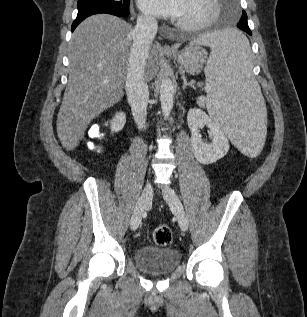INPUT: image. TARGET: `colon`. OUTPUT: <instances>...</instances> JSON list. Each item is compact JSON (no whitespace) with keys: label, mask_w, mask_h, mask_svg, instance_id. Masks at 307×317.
Here are the masks:
<instances>
[{"label":"colon","mask_w":307,"mask_h":317,"mask_svg":"<svg viewBox=\"0 0 307 317\" xmlns=\"http://www.w3.org/2000/svg\"><path fill=\"white\" fill-rule=\"evenodd\" d=\"M90 141L88 146L91 150H100V146L94 142L103 137L101 127L99 125H94L89 131ZM153 240L156 245L160 247L169 246L173 241V233L168 225L161 224L158 225L153 231Z\"/></svg>","instance_id":"colon-1"}]
</instances>
